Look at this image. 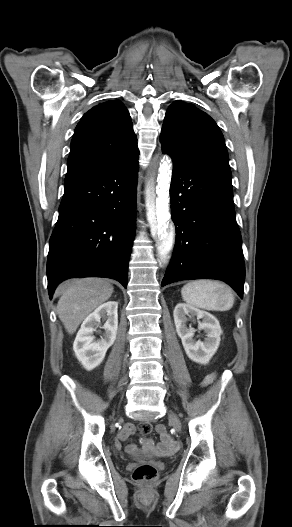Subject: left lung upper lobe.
Masks as SVG:
<instances>
[{"mask_svg": "<svg viewBox=\"0 0 292 527\" xmlns=\"http://www.w3.org/2000/svg\"><path fill=\"white\" fill-rule=\"evenodd\" d=\"M162 150L175 160L231 173L223 135L214 120L191 104L176 101L166 112Z\"/></svg>", "mask_w": 292, "mask_h": 527, "instance_id": "obj_1", "label": "left lung upper lobe"}]
</instances>
